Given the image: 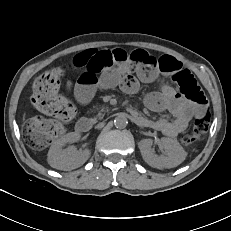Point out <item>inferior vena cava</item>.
Wrapping results in <instances>:
<instances>
[{
  "label": "inferior vena cava",
  "mask_w": 231,
  "mask_h": 231,
  "mask_svg": "<svg viewBox=\"0 0 231 231\" xmlns=\"http://www.w3.org/2000/svg\"><path fill=\"white\" fill-rule=\"evenodd\" d=\"M104 126V121H98L96 124H95V129H100Z\"/></svg>",
  "instance_id": "obj_1"
}]
</instances>
